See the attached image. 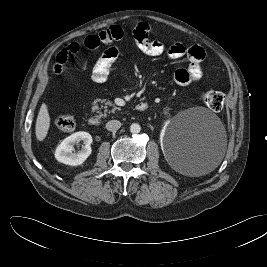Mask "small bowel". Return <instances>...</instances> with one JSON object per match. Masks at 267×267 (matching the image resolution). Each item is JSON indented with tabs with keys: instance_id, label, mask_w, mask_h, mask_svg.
Returning a JSON list of instances; mask_svg holds the SVG:
<instances>
[{
	"instance_id": "1",
	"label": "small bowel",
	"mask_w": 267,
	"mask_h": 267,
	"mask_svg": "<svg viewBox=\"0 0 267 267\" xmlns=\"http://www.w3.org/2000/svg\"><path fill=\"white\" fill-rule=\"evenodd\" d=\"M150 26L145 23H139L133 30V37L137 47L146 55H161L166 47L163 42L149 40ZM124 30L120 26H110L97 34L87 36L81 42H72L63 48L56 56L54 71L60 74L65 65L82 49L95 50L102 44H111L122 39ZM118 50L114 46L107 47L100 58L96 61L92 70V79L95 82H105L109 76L110 69L118 58ZM167 55L171 59L185 58L188 62L186 68L178 69L174 78L177 84L181 86L189 85L199 81L202 78V69L200 66L205 53L200 46H186L182 43H175L167 49Z\"/></svg>"
}]
</instances>
